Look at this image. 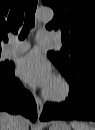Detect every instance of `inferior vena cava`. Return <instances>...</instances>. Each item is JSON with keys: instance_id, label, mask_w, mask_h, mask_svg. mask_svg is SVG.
I'll return each mask as SVG.
<instances>
[{"instance_id": "602c4592", "label": "inferior vena cava", "mask_w": 95, "mask_h": 130, "mask_svg": "<svg viewBox=\"0 0 95 130\" xmlns=\"http://www.w3.org/2000/svg\"><path fill=\"white\" fill-rule=\"evenodd\" d=\"M14 123H15V127L14 128L15 130H20L21 129V123H22V117L17 115V116H14Z\"/></svg>"}]
</instances>
